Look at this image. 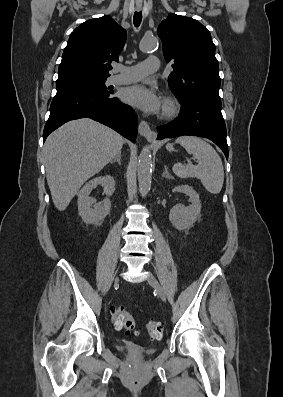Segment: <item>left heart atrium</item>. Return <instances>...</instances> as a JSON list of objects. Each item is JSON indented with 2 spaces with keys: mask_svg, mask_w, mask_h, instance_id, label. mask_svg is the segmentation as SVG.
<instances>
[{
  "mask_svg": "<svg viewBox=\"0 0 283 397\" xmlns=\"http://www.w3.org/2000/svg\"><path fill=\"white\" fill-rule=\"evenodd\" d=\"M121 98L125 103L148 114H156L161 109L159 96L153 89L143 84H135L125 88Z\"/></svg>",
  "mask_w": 283,
  "mask_h": 397,
  "instance_id": "obj_1",
  "label": "left heart atrium"
}]
</instances>
